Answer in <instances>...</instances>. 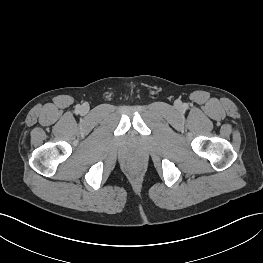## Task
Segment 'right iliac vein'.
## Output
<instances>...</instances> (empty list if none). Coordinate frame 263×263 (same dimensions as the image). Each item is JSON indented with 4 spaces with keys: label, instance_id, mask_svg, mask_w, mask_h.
<instances>
[{
    "label": "right iliac vein",
    "instance_id": "right-iliac-vein-1",
    "mask_svg": "<svg viewBox=\"0 0 263 263\" xmlns=\"http://www.w3.org/2000/svg\"><path fill=\"white\" fill-rule=\"evenodd\" d=\"M81 111H82L83 114H87L88 111H89V107L87 105H83L81 107Z\"/></svg>",
    "mask_w": 263,
    "mask_h": 263
}]
</instances>
